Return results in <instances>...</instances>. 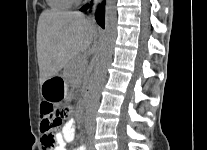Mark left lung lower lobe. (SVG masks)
Wrapping results in <instances>:
<instances>
[{"label": "left lung lower lobe", "mask_w": 207, "mask_h": 150, "mask_svg": "<svg viewBox=\"0 0 207 150\" xmlns=\"http://www.w3.org/2000/svg\"><path fill=\"white\" fill-rule=\"evenodd\" d=\"M88 8V5H85L84 7H82L80 10L81 11H85Z\"/></svg>", "instance_id": "left-lung-lower-lobe-1"}]
</instances>
